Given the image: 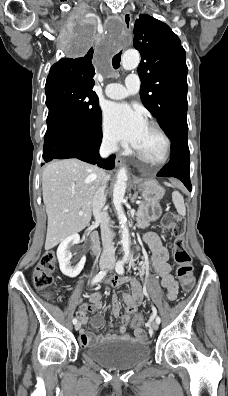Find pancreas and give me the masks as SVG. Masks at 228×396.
Masks as SVG:
<instances>
[{"instance_id": "pancreas-1", "label": "pancreas", "mask_w": 228, "mask_h": 396, "mask_svg": "<svg viewBox=\"0 0 228 396\" xmlns=\"http://www.w3.org/2000/svg\"><path fill=\"white\" fill-rule=\"evenodd\" d=\"M137 213H144L145 209L143 208V203L136 209ZM136 219L138 220V226H148V220L144 215H137Z\"/></svg>"}]
</instances>
